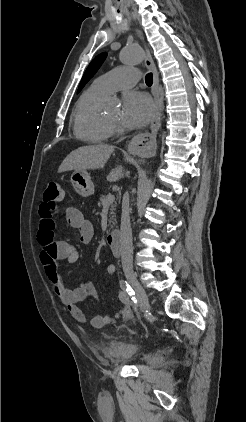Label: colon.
I'll use <instances>...</instances> for the list:
<instances>
[{
    "mask_svg": "<svg viewBox=\"0 0 246 422\" xmlns=\"http://www.w3.org/2000/svg\"><path fill=\"white\" fill-rule=\"evenodd\" d=\"M64 190L59 183L51 182L47 185L43 194V203L57 212L61 208L64 200Z\"/></svg>",
    "mask_w": 246,
    "mask_h": 422,
    "instance_id": "colon-1",
    "label": "colon"
}]
</instances>
